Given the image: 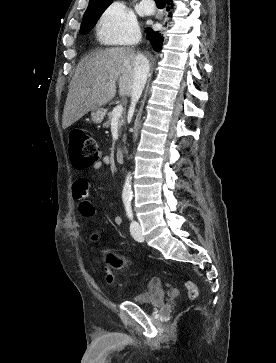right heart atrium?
<instances>
[{"mask_svg": "<svg viewBox=\"0 0 276 363\" xmlns=\"http://www.w3.org/2000/svg\"><path fill=\"white\" fill-rule=\"evenodd\" d=\"M97 34L103 42L129 44L137 40L139 29L129 8L123 2H113L101 15Z\"/></svg>", "mask_w": 276, "mask_h": 363, "instance_id": "d8ad5b80", "label": "right heart atrium"}]
</instances>
